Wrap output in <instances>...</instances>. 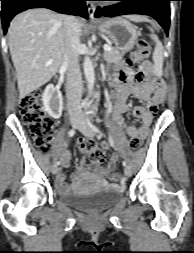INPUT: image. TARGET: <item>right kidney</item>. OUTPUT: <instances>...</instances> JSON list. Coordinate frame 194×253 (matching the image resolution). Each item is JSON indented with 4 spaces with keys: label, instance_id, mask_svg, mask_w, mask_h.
Segmentation results:
<instances>
[{
    "label": "right kidney",
    "instance_id": "right-kidney-1",
    "mask_svg": "<svg viewBox=\"0 0 194 253\" xmlns=\"http://www.w3.org/2000/svg\"><path fill=\"white\" fill-rule=\"evenodd\" d=\"M45 111L54 119L60 118L63 110V98L59 90L53 85H48L42 95Z\"/></svg>",
    "mask_w": 194,
    "mask_h": 253
}]
</instances>
